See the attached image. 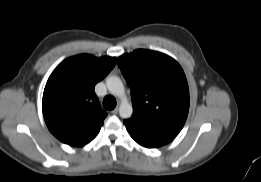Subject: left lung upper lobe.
I'll use <instances>...</instances> for the list:
<instances>
[{
  "mask_svg": "<svg viewBox=\"0 0 261 182\" xmlns=\"http://www.w3.org/2000/svg\"><path fill=\"white\" fill-rule=\"evenodd\" d=\"M131 88L133 115L124 124L132 138L161 145L183 128L189 111L185 74L172 57L138 49L118 58Z\"/></svg>",
  "mask_w": 261,
  "mask_h": 182,
  "instance_id": "1",
  "label": "left lung upper lobe"
}]
</instances>
